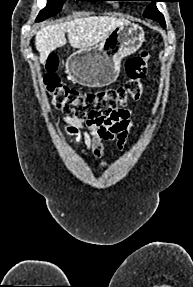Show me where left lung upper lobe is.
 Wrapping results in <instances>:
<instances>
[{"instance_id": "1", "label": "left lung upper lobe", "mask_w": 193, "mask_h": 287, "mask_svg": "<svg viewBox=\"0 0 193 287\" xmlns=\"http://www.w3.org/2000/svg\"><path fill=\"white\" fill-rule=\"evenodd\" d=\"M152 1V4L149 5L146 9V11L144 12L143 16L153 19L157 22H159L163 27H165V20L163 15L158 11L157 7H156V2L160 1V0H150Z\"/></svg>"}]
</instances>
